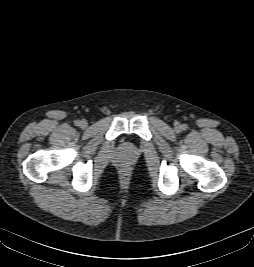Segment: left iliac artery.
Instances as JSON below:
<instances>
[{
  "label": "left iliac artery",
  "instance_id": "obj_1",
  "mask_svg": "<svg viewBox=\"0 0 254 267\" xmlns=\"http://www.w3.org/2000/svg\"><path fill=\"white\" fill-rule=\"evenodd\" d=\"M182 130H186V128H187V126L184 124V125H182Z\"/></svg>",
  "mask_w": 254,
  "mask_h": 267
}]
</instances>
